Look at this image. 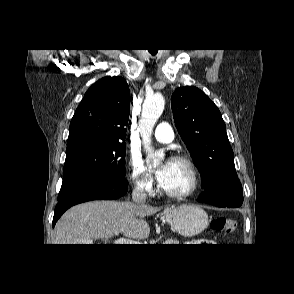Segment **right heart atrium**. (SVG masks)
Segmentation results:
<instances>
[{
    "label": "right heart atrium",
    "instance_id": "d8ad5b80",
    "mask_svg": "<svg viewBox=\"0 0 294 294\" xmlns=\"http://www.w3.org/2000/svg\"><path fill=\"white\" fill-rule=\"evenodd\" d=\"M130 180L135 190L149 193L152 190L153 179L146 171L143 162L138 156H131L129 160Z\"/></svg>",
    "mask_w": 294,
    "mask_h": 294
}]
</instances>
